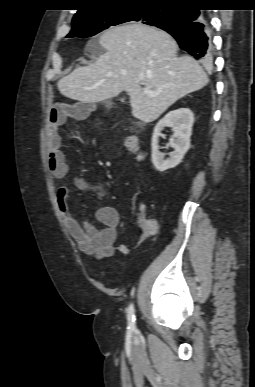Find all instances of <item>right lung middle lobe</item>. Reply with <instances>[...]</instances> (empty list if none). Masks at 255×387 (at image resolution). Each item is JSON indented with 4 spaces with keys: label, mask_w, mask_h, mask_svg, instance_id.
Here are the masks:
<instances>
[{
    "label": "right lung middle lobe",
    "mask_w": 255,
    "mask_h": 387,
    "mask_svg": "<svg viewBox=\"0 0 255 387\" xmlns=\"http://www.w3.org/2000/svg\"><path fill=\"white\" fill-rule=\"evenodd\" d=\"M161 6H122L98 12L72 22V30L68 38L91 37L111 26L130 21H140L144 24L159 27L169 23L175 16V8Z\"/></svg>",
    "instance_id": "right-lung-middle-lobe-1"
}]
</instances>
